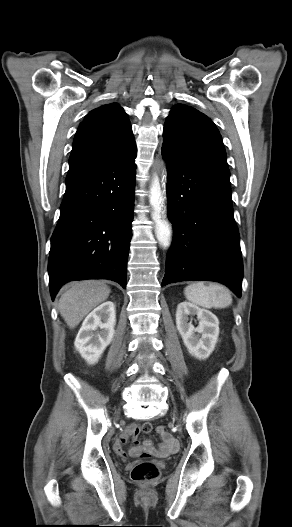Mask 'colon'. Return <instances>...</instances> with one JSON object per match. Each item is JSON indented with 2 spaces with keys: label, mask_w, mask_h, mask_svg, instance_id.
<instances>
[{
  "label": "colon",
  "mask_w": 292,
  "mask_h": 527,
  "mask_svg": "<svg viewBox=\"0 0 292 527\" xmlns=\"http://www.w3.org/2000/svg\"><path fill=\"white\" fill-rule=\"evenodd\" d=\"M142 427L146 432L150 429L151 424L145 423ZM131 477L136 482L150 484L158 479L159 469L151 461L144 460L134 466L131 472Z\"/></svg>",
  "instance_id": "obj_1"
}]
</instances>
